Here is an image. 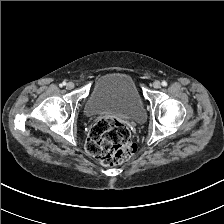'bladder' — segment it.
Here are the masks:
<instances>
[{"label":"bladder","instance_id":"bladder-1","mask_svg":"<svg viewBox=\"0 0 224 224\" xmlns=\"http://www.w3.org/2000/svg\"><path fill=\"white\" fill-rule=\"evenodd\" d=\"M118 113L135 122L145 121L146 112L133 79L121 72L100 76L93 84L85 102V113L98 116Z\"/></svg>","mask_w":224,"mask_h":224}]
</instances>
